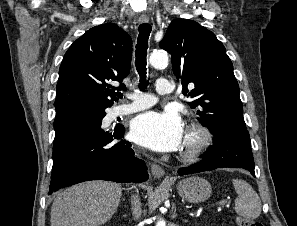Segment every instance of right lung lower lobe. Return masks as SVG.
Segmentation results:
<instances>
[{
	"label": "right lung lower lobe",
	"mask_w": 297,
	"mask_h": 226,
	"mask_svg": "<svg viewBox=\"0 0 297 226\" xmlns=\"http://www.w3.org/2000/svg\"><path fill=\"white\" fill-rule=\"evenodd\" d=\"M105 115L92 106L56 115L49 195L89 180L139 183L148 179L146 164L134 157L130 142L112 143L123 137L124 127L111 133L101 128Z\"/></svg>",
	"instance_id": "right-lung-lower-lobe-1"
}]
</instances>
